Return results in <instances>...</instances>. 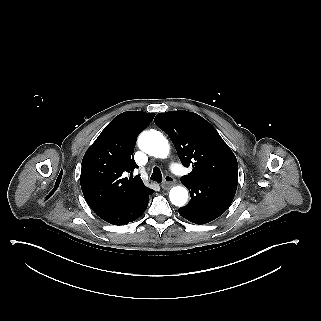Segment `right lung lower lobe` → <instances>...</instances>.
<instances>
[{
  "label": "right lung lower lobe",
  "instance_id": "obj_1",
  "mask_svg": "<svg viewBox=\"0 0 321 321\" xmlns=\"http://www.w3.org/2000/svg\"><path fill=\"white\" fill-rule=\"evenodd\" d=\"M153 192L154 190L147 188L130 200L120 205L99 211L96 214L104 221L113 225L127 224L136 220L144 213L148 205L149 195Z\"/></svg>",
  "mask_w": 321,
  "mask_h": 321
}]
</instances>
